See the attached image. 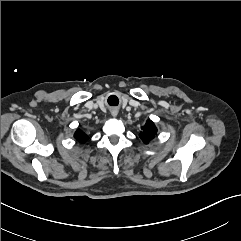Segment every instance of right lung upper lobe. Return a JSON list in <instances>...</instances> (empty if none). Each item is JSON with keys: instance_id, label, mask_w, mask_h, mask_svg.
Here are the masks:
<instances>
[{"instance_id": "right-lung-upper-lobe-1", "label": "right lung upper lobe", "mask_w": 241, "mask_h": 241, "mask_svg": "<svg viewBox=\"0 0 241 241\" xmlns=\"http://www.w3.org/2000/svg\"><path fill=\"white\" fill-rule=\"evenodd\" d=\"M74 137L76 138L77 141L84 143L88 140V136L81 131L80 129H78L74 135Z\"/></svg>"}]
</instances>
